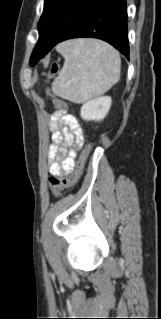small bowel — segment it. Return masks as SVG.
<instances>
[{
  "label": "small bowel",
  "mask_w": 161,
  "mask_h": 319,
  "mask_svg": "<svg viewBox=\"0 0 161 319\" xmlns=\"http://www.w3.org/2000/svg\"><path fill=\"white\" fill-rule=\"evenodd\" d=\"M53 143L49 146L48 162L51 175L72 172L77 151L83 146V131L77 118L60 109L50 116Z\"/></svg>",
  "instance_id": "1"
}]
</instances>
